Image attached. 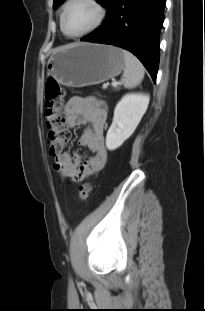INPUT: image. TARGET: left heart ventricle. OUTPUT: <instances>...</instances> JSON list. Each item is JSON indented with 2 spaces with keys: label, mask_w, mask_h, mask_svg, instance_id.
I'll return each mask as SVG.
<instances>
[{
  "label": "left heart ventricle",
  "mask_w": 205,
  "mask_h": 311,
  "mask_svg": "<svg viewBox=\"0 0 205 311\" xmlns=\"http://www.w3.org/2000/svg\"><path fill=\"white\" fill-rule=\"evenodd\" d=\"M97 11L83 0L73 2L66 12L65 29L69 34H78L88 29L96 20Z\"/></svg>",
  "instance_id": "1"
}]
</instances>
